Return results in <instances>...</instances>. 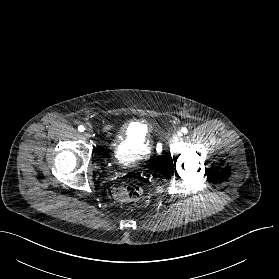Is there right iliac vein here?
<instances>
[{
  "label": "right iliac vein",
  "instance_id": "1",
  "mask_svg": "<svg viewBox=\"0 0 279 279\" xmlns=\"http://www.w3.org/2000/svg\"><path fill=\"white\" fill-rule=\"evenodd\" d=\"M93 134V131L91 128H87L86 131L84 132L85 137L91 138Z\"/></svg>",
  "mask_w": 279,
  "mask_h": 279
}]
</instances>
